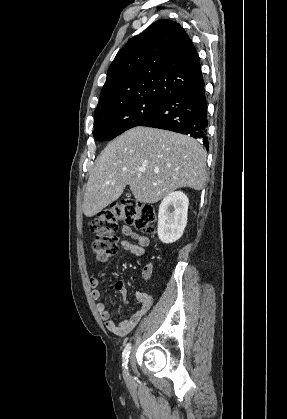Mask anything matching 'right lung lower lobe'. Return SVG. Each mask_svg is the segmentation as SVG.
Listing matches in <instances>:
<instances>
[{"label":"right lung lower lobe","mask_w":287,"mask_h":419,"mask_svg":"<svg viewBox=\"0 0 287 419\" xmlns=\"http://www.w3.org/2000/svg\"><path fill=\"white\" fill-rule=\"evenodd\" d=\"M204 82L173 93L139 126L165 129L190 135L208 148L207 100Z\"/></svg>","instance_id":"98d812e1"}]
</instances>
